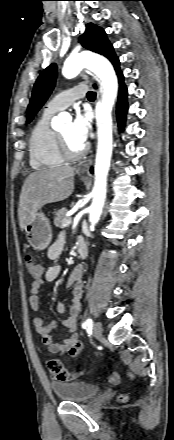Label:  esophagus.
Masks as SVG:
<instances>
[{
    "label": "esophagus",
    "mask_w": 174,
    "mask_h": 440,
    "mask_svg": "<svg viewBox=\"0 0 174 440\" xmlns=\"http://www.w3.org/2000/svg\"><path fill=\"white\" fill-rule=\"evenodd\" d=\"M93 161V156H90L87 160H84L82 162H80L79 167H78V171L81 174H89V168L92 164Z\"/></svg>",
    "instance_id": "1"
}]
</instances>
